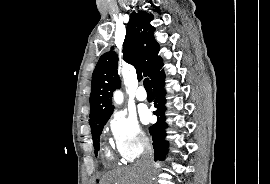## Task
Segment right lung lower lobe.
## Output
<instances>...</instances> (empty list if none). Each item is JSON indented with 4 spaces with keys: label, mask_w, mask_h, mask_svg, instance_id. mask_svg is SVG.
Here are the masks:
<instances>
[{
    "label": "right lung lower lobe",
    "mask_w": 270,
    "mask_h": 184,
    "mask_svg": "<svg viewBox=\"0 0 270 184\" xmlns=\"http://www.w3.org/2000/svg\"><path fill=\"white\" fill-rule=\"evenodd\" d=\"M164 78L165 74L160 72L158 76L151 82L153 87V92L155 96L154 107L157 110L154 114L157 116V122L149 128V132L152 135L153 148H154V158L157 160H164L165 155L167 154L168 142L164 140L165 137V128L167 124L165 123L164 112L165 108V90H164Z\"/></svg>",
    "instance_id": "98d812e1"
}]
</instances>
